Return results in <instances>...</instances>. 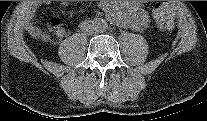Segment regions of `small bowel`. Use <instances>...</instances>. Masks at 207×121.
<instances>
[{
    "mask_svg": "<svg viewBox=\"0 0 207 121\" xmlns=\"http://www.w3.org/2000/svg\"><path fill=\"white\" fill-rule=\"evenodd\" d=\"M61 4L62 6H69V2H61ZM100 7L112 21L119 24L134 29H144L148 24L147 17L143 14L140 4L138 3L127 4L124 11L109 1H102ZM58 31H63V28L59 27Z\"/></svg>",
    "mask_w": 207,
    "mask_h": 121,
    "instance_id": "small-bowel-1",
    "label": "small bowel"
}]
</instances>
